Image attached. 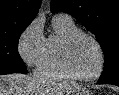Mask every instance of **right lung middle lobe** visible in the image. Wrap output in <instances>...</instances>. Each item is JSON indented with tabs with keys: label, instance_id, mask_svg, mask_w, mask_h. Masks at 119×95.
Masks as SVG:
<instances>
[{
	"label": "right lung middle lobe",
	"instance_id": "1",
	"mask_svg": "<svg viewBox=\"0 0 119 95\" xmlns=\"http://www.w3.org/2000/svg\"><path fill=\"white\" fill-rule=\"evenodd\" d=\"M29 24H13L0 28V69L27 73L18 53V40Z\"/></svg>",
	"mask_w": 119,
	"mask_h": 95
}]
</instances>
